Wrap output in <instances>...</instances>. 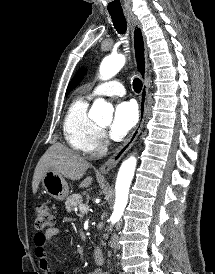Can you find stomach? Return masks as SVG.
Returning a JSON list of instances; mask_svg holds the SVG:
<instances>
[{
  "mask_svg": "<svg viewBox=\"0 0 215 274\" xmlns=\"http://www.w3.org/2000/svg\"><path fill=\"white\" fill-rule=\"evenodd\" d=\"M42 186L44 190L57 200H64L69 194V187L65 179L53 169L43 175Z\"/></svg>",
  "mask_w": 215,
  "mask_h": 274,
  "instance_id": "0dacf381",
  "label": "stomach"
}]
</instances>
